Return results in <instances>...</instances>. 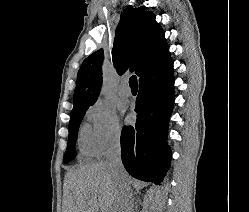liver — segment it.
I'll list each match as a JSON object with an SVG mask.
<instances>
[{
  "mask_svg": "<svg viewBox=\"0 0 249 212\" xmlns=\"http://www.w3.org/2000/svg\"><path fill=\"white\" fill-rule=\"evenodd\" d=\"M114 168L107 162L70 170L64 180L66 212H113Z\"/></svg>",
  "mask_w": 249,
  "mask_h": 212,
  "instance_id": "obj_1",
  "label": "liver"
}]
</instances>
